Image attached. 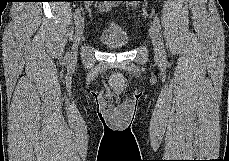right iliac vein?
I'll use <instances>...</instances> for the list:
<instances>
[{
	"label": "right iliac vein",
	"instance_id": "obj_1",
	"mask_svg": "<svg viewBox=\"0 0 229 161\" xmlns=\"http://www.w3.org/2000/svg\"><path fill=\"white\" fill-rule=\"evenodd\" d=\"M83 32H84V19H81L78 22L77 28H76V31H75L72 50H71V52L69 54V60L70 61H74L76 59L77 48H78L79 42L81 40V37L83 35Z\"/></svg>",
	"mask_w": 229,
	"mask_h": 161
}]
</instances>
